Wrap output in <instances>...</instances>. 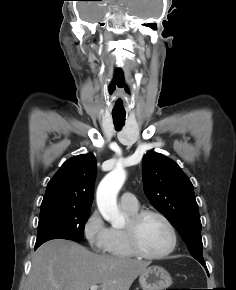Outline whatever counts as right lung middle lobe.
I'll use <instances>...</instances> for the list:
<instances>
[{"instance_id": "1", "label": "right lung middle lobe", "mask_w": 236, "mask_h": 290, "mask_svg": "<svg viewBox=\"0 0 236 290\" xmlns=\"http://www.w3.org/2000/svg\"><path fill=\"white\" fill-rule=\"evenodd\" d=\"M88 210L50 208L41 210L36 247L51 239L82 240Z\"/></svg>"}]
</instances>
